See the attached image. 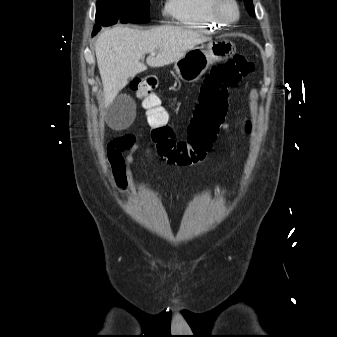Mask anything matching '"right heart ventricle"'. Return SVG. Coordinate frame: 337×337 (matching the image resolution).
I'll return each mask as SVG.
<instances>
[{"mask_svg":"<svg viewBox=\"0 0 337 337\" xmlns=\"http://www.w3.org/2000/svg\"><path fill=\"white\" fill-rule=\"evenodd\" d=\"M214 3L215 0H167L165 11L186 28L212 32L228 25L216 17Z\"/></svg>","mask_w":337,"mask_h":337,"instance_id":"right-heart-ventricle-1","label":"right heart ventricle"}]
</instances>
